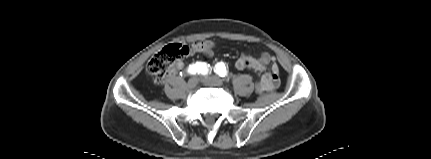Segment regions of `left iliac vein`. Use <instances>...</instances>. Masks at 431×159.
<instances>
[{
    "label": "left iliac vein",
    "instance_id": "1",
    "mask_svg": "<svg viewBox=\"0 0 431 159\" xmlns=\"http://www.w3.org/2000/svg\"><path fill=\"white\" fill-rule=\"evenodd\" d=\"M201 82L205 85L209 86H221L223 84V81L218 76H208L203 79H201Z\"/></svg>",
    "mask_w": 431,
    "mask_h": 159
}]
</instances>
